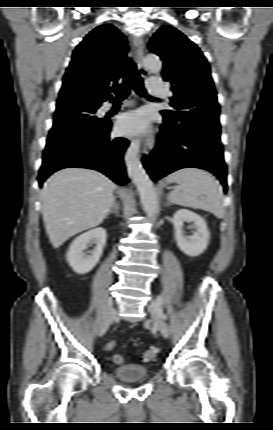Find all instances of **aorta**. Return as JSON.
<instances>
[{"label": "aorta", "mask_w": 273, "mask_h": 430, "mask_svg": "<svg viewBox=\"0 0 273 430\" xmlns=\"http://www.w3.org/2000/svg\"><path fill=\"white\" fill-rule=\"evenodd\" d=\"M144 65L153 74L159 73L162 68L160 58L154 54L145 57ZM139 148V140L131 142L125 154V163L128 175L132 178L139 192L143 209L148 217H152L158 208V197L149 175L139 160Z\"/></svg>", "instance_id": "1"}]
</instances>
